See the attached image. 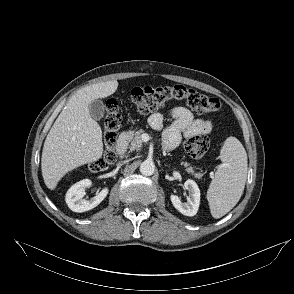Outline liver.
<instances>
[{
  "instance_id": "6515ba94",
  "label": "liver",
  "mask_w": 294,
  "mask_h": 294,
  "mask_svg": "<svg viewBox=\"0 0 294 294\" xmlns=\"http://www.w3.org/2000/svg\"><path fill=\"white\" fill-rule=\"evenodd\" d=\"M116 80L79 89L67 102L50 129L43 146L41 170L45 185L54 190L63 176L103 154L102 130L91 117L89 104L112 95Z\"/></svg>"
}]
</instances>
